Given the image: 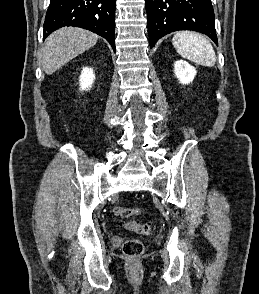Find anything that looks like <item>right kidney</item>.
Masks as SVG:
<instances>
[{
    "label": "right kidney",
    "mask_w": 259,
    "mask_h": 294,
    "mask_svg": "<svg viewBox=\"0 0 259 294\" xmlns=\"http://www.w3.org/2000/svg\"><path fill=\"white\" fill-rule=\"evenodd\" d=\"M95 79V74L93 69L89 67H83V70L80 75V89L81 90H88L92 87L93 81Z\"/></svg>",
    "instance_id": "right-kidney-1"
}]
</instances>
